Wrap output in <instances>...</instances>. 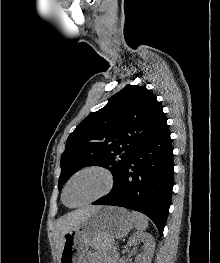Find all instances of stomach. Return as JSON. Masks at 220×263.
<instances>
[{
	"label": "stomach",
	"mask_w": 220,
	"mask_h": 263,
	"mask_svg": "<svg viewBox=\"0 0 220 263\" xmlns=\"http://www.w3.org/2000/svg\"><path fill=\"white\" fill-rule=\"evenodd\" d=\"M133 226L125 208L102 206L64 235L59 263H82L90 245L109 249L114 239L126 236Z\"/></svg>",
	"instance_id": "0dacf381"
}]
</instances>
